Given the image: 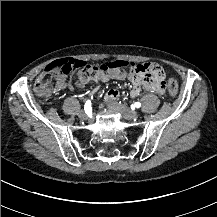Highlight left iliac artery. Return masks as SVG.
Here are the masks:
<instances>
[{"mask_svg":"<svg viewBox=\"0 0 217 217\" xmlns=\"http://www.w3.org/2000/svg\"><path fill=\"white\" fill-rule=\"evenodd\" d=\"M133 106L136 107V108H139V107H141V103L140 102H136Z\"/></svg>","mask_w":217,"mask_h":217,"instance_id":"obj_1","label":"left iliac artery"}]
</instances>
